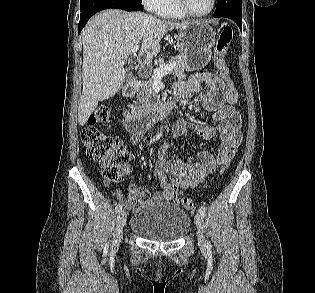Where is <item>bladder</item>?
Listing matches in <instances>:
<instances>
[{"instance_id":"1","label":"bladder","mask_w":315,"mask_h":293,"mask_svg":"<svg viewBox=\"0 0 315 293\" xmlns=\"http://www.w3.org/2000/svg\"><path fill=\"white\" fill-rule=\"evenodd\" d=\"M190 227L189 214L172 203H149L130 220V228L135 234L163 242L183 238Z\"/></svg>"}]
</instances>
